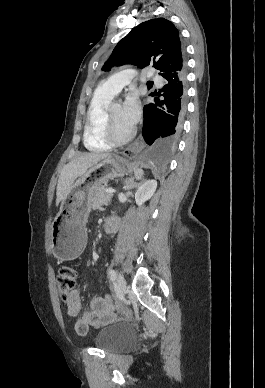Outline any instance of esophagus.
Wrapping results in <instances>:
<instances>
[{
    "mask_svg": "<svg viewBox=\"0 0 265 388\" xmlns=\"http://www.w3.org/2000/svg\"><path fill=\"white\" fill-rule=\"evenodd\" d=\"M144 147V140L139 137L134 143L123 151V156L133 158Z\"/></svg>",
    "mask_w": 265,
    "mask_h": 388,
    "instance_id": "34e87169",
    "label": "esophagus"
}]
</instances>
